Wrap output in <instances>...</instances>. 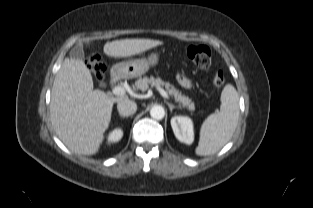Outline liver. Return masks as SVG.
Instances as JSON below:
<instances>
[{
	"mask_svg": "<svg viewBox=\"0 0 313 208\" xmlns=\"http://www.w3.org/2000/svg\"><path fill=\"white\" fill-rule=\"evenodd\" d=\"M162 44V41L151 39L115 40L104 45V53L123 58ZM93 88L92 76L86 65L65 58L51 91L50 119L59 139L80 155L98 152L109 127L113 104L128 99L124 95L113 98Z\"/></svg>",
	"mask_w": 313,
	"mask_h": 208,
	"instance_id": "1",
	"label": "liver"
}]
</instances>
